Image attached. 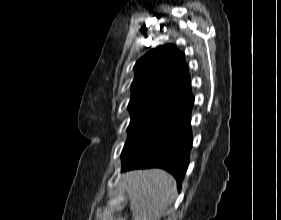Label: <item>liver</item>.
Instances as JSON below:
<instances>
[{
  "mask_svg": "<svg viewBox=\"0 0 281 220\" xmlns=\"http://www.w3.org/2000/svg\"><path fill=\"white\" fill-rule=\"evenodd\" d=\"M132 220H159L177 195L176 181L162 169L133 170L124 174Z\"/></svg>",
  "mask_w": 281,
  "mask_h": 220,
  "instance_id": "obj_1",
  "label": "liver"
}]
</instances>
